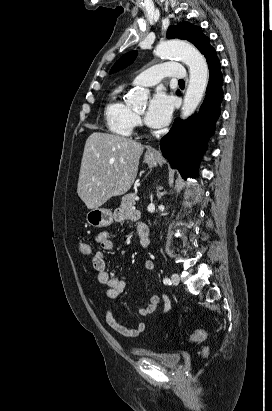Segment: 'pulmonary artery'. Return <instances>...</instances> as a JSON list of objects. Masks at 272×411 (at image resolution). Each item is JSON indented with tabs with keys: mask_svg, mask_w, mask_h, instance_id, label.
<instances>
[{
	"mask_svg": "<svg viewBox=\"0 0 272 411\" xmlns=\"http://www.w3.org/2000/svg\"><path fill=\"white\" fill-rule=\"evenodd\" d=\"M186 76L180 63H160L144 70L133 80V83L140 86H155L165 77L184 80Z\"/></svg>",
	"mask_w": 272,
	"mask_h": 411,
	"instance_id": "e3ab8cb5",
	"label": "pulmonary artery"
}]
</instances>
